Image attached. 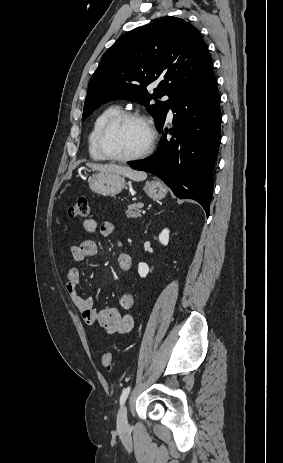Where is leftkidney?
<instances>
[{"label":"left kidney","instance_id":"1","mask_svg":"<svg viewBox=\"0 0 283 463\" xmlns=\"http://www.w3.org/2000/svg\"><path fill=\"white\" fill-rule=\"evenodd\" d=\"M159 242L166 246L169 242V230L167 228L163 229L159 234ZM138 273L140 277L144 278L149 273V267L146 263L140 262L138 265Z\"/></svg>","mask_w":283,"mask_h":463}]
</instances>
